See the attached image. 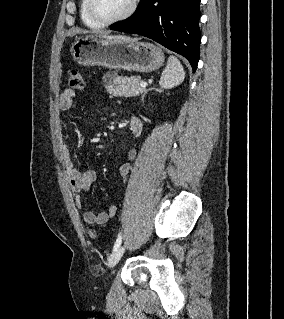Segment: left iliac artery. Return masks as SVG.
<instances>
[{
    "label": "left iliac artery",
    "mask_w": 284,
    "mask_h": 319,
    "mask_svg": "<svg viewBox=\"0 0 284 319\" xmlns=\"http://www.w3.org/2000/svg\"><path fill=\"white\" fill-rule=\"evenodd\" d=\"M121 242H122V237H121V234H119L114 244L113 251L117 250L120 247Z\"/></svg>",
    "instance_id": "obj_1"
}]
</instances>
